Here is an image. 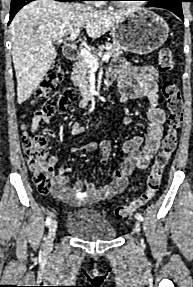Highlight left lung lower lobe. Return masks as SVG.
<instances>
[{"instance_id": "1", "label": "left lung lower lobe", "mask_w": 193, "mask_h": 287, "mask_svg": "<svg viewBox=\"0 0 193 287\" xmlns=\"http://www.w3.org/2000/svg\"><path fill=\"white\" fill-rule=\"evenodd\" d=\"M186 0H160L155 3L147 4L146 7H160L175 13L181 20L184 21L181 2Z\"/></svg>"}]
</instances>
